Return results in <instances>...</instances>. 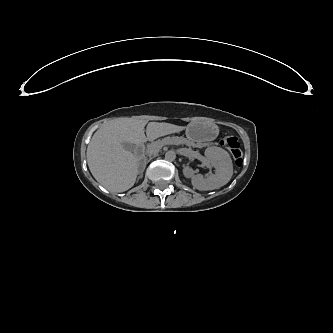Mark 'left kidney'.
I'll use <instances>...</instances> for the list:
<instances>
[{
    "label": "left kidney",
    "mask_w": 333,
    "mask_h": 333,
    "mask_svg": "<svg viewBox=\"0 0 333 333\" xmlns=\"http://www.w3.org/2000/svg\"><path fill=\"white\" fill-rule=\"evenodd\" d=\"M205 158L209 165L214 168L207 177L197 173L190 167L183 169L184 175L191 178L193 187L200 191H209L219 189L226 185L232 177L233 165L227 152L223 149L213 148L205 151Z\"/></svg>",
    "instance_id": "1"
}]
</instances>
